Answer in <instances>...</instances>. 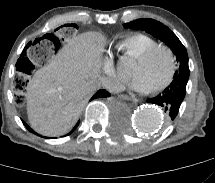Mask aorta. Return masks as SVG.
Listing matches in <instances>:
<instances>
[{
    "instance_id": "aorta-1",
    "label": "aorta",
    "mask_w": 215,
    "mask_h": 183,
    "mask_svg": "<svg viewBox=\"0 0 215 183\" xmlns=\"http://www.w3.org/2000/svg\"><path fill=\"white\" fill-rule=\"evenodd\" d=\"M127 62H122L121 67H128ZM164 120L163 112L152 106L141 107L137 110L134 116V125L135 127L142 132L152 133L158 130Z\"/></svg>"
}]
</instances>
